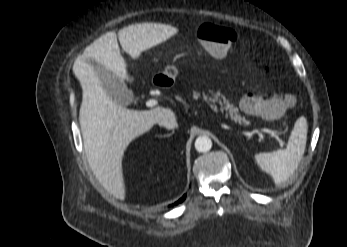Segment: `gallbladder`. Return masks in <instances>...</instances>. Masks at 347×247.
Wrapping results in <instances>:
<instances>
[{
  "label": "gallbladder",
  "mask_w": 347,
  "mask_h": 247,
  "mask_svg": "<svg viewBox=\"0 0 347 247\" xmlns=\"http://www.w3.org/2000/svg\"><path fill=\"white\" fill-rule=\"evenodd\" d=\"M89 62L96 71L103 90L114 102L120 105H128L133 101L134 95L127 88L124 81L96 61L90 60Z\"/></svg>",
  "instance_id": "gallbladder-1"
}]
</instances>
